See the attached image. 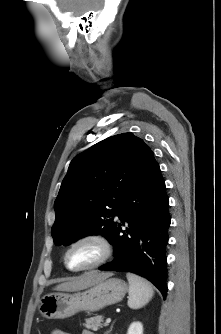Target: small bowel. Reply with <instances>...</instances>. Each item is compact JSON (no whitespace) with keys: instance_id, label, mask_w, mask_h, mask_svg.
Wrapping results in <instances>:
<instances>
[{"instance_id":"small-bowel-1","label":"small bowel","mask_w":221,"mask_h":334,"mask_svg":"<svg viewBox=\"0 0 221 334\" xmlns=\"http://www.w3.org/2000/svg\"><path fill=\"white\" fill-rule=\"evenodd\" d=\"M51 334H70L67 333L61 329H54ZM81 334H94L93 332L89 331V330H83Z\"/></svg>"}]
</instances>
